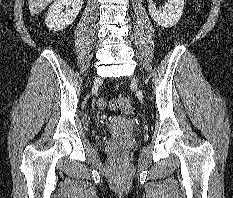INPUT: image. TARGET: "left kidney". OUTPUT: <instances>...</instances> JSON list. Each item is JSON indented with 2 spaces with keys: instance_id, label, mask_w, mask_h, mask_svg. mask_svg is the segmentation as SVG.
I'll return each mask as SVG.
<instances>
[{
  "instance_id": "1",
  "label": "left kidney",
  "mask_w": 233,
  "mask_h": 198,
  "mask_svg": "<svg viewBox=\"0 0 233 198\" xmlns=\"http://www.w3.org/2000/svg\"><path fill=\"white\" fill-rule=\"evenodd\" d=\"M183 8L184 0H167L162 9H158L153 0H149L148 5V10L153 20L165 28L175 26L178 23Z\"/></svg>"
}]
</instances>
